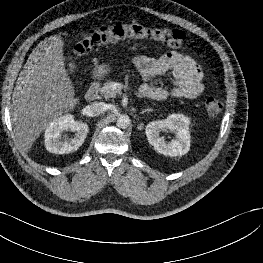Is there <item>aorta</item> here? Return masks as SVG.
I'll list each match as a JSON object with an SVG mask.
<instances>
[{"mask_svg":"<svg viewBox=\"0 0 263 263\" xmlns=\"http://www.w3.org/2000/svg\"><path fill=\"white\" fill-rule=\"evenodd\" d=\"M131 123V120L127 114H121L118 116L116 124L119 128L125 129Z\"/></svg>","mask_w":263,"mask_h":263,"instance_id":"aorta-1","label":"aorta"}]
</instances>
